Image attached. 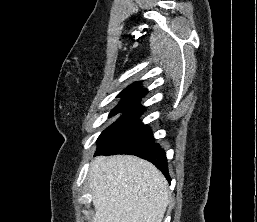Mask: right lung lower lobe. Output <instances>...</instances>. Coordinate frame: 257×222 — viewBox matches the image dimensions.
<instances>
[{"instance_id":"obj_1","label":"right lung lower lobe","mask_w":257,"mask_h":222,"mask_svg":"<svg viewBox=\"0 0 257 222\" xmlns=\"http://www.w3.org/2000/svg\"><path fill=\"white\" fill-rule=\"evenodd\" d=\"M114 154H131L153 163L168 182H171L168 173L166 153L160 147L146 125H140L138 128L128 132L119 139L98 147L95 155H114Z\"/></svg>"}]
</instances>
